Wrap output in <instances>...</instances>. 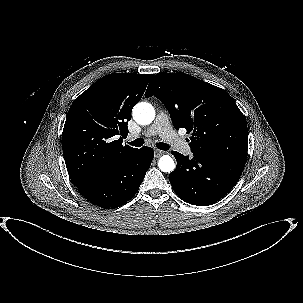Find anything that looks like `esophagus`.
<instances>
[{"instance_id":"obj_1","label":"esophagus","mask_w":303,"mask_h":303,"mask_svg":"<svg viewBox=\"0 0 303 303\" xmlns=\"http://www.w3.org/2000/svg\"><path fill=\"white\" fill-rule=\"evenodd\" d=\"M165 152L164 151H161V150H155V157H160V156H162L163 154H164Z\"/></svg>"}]
</instances>
